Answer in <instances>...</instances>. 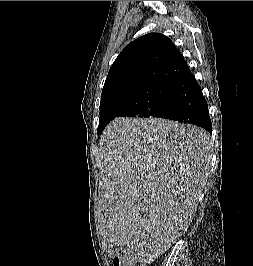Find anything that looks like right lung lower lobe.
<instances>
[{"instance_id":"right-lung-lower-lobe-1","label":"right lung lower lobe","mask_w":253,"mask_h":266,"mask_svg":"<svg viewBox=\"0 0 253 266\" xmlns=\"http://www.w3.org/2000/svg\"><path fill=\"white\" fill-rule=\"evenodd\" d=\"M159 117L194 124L212 131L207 102L190 71L172 84L168 104Z\"/></svg>"}]
</instances>
